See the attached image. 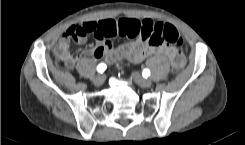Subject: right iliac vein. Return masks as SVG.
<instances>
[{
    "label": "right iliac vein",
    "mask_w": 245,
    "mask_h": 145,
    "mask_svg": "<svg viewBox=\"0 0 245 145\" xmlns=\"http://www.w3.org/2000/svg\"><path fill=\"white\" fill-rule=\"evenodd\" d=\"M93 83L96 86H101L104 83V76L102 74H98L94 77Z\"/></svg>",
    "instance_id": "obj_1"
}]
</instances>
